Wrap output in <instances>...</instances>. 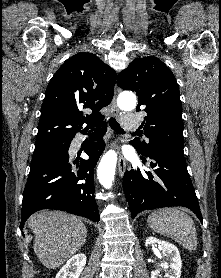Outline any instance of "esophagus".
Returning <instances> with one entry per match:
<instances>
[{"label": "esophagus", "mask_w": 221, "mask_h": 278, "mask_svg": "<svg viewBox=\"0 0 221 278\" xmlns=\"http://www.w3.org/2000/svg\"><path fill=\"white\" fill-rule=\"evenodd\" d=\"M111 112L114 116H117L119 114V109L116 105V98L114 97L111 102ZM126 169V160L123 157L122 153H119L118 156V172L120 176H123Z\"/></svg>", "instance_id": "1"}]
</instances>
